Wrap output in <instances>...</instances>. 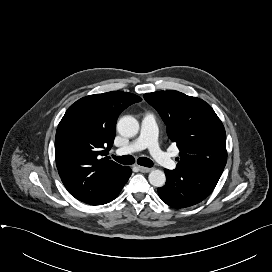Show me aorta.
Here are the masks:
<instances>
[{
    "label": "aorta",
    "instance_id": "1",
    "mask_svg": "<svg viewBox=\"0 0 272 272\" xmlns=\"http://www.w3.org/2000/svg\"><path fill=\"white\" fill-rule=\"evenodd\" d=\"M118 132L125 137H133L139 131V122L132 116H123L117 123ZM148 180L155 187H162L166 182L165 173L159 169L149 173Z\"/></svg>",
    "mask_w": 272,
    "mask_h": 272
}]
</instances>
